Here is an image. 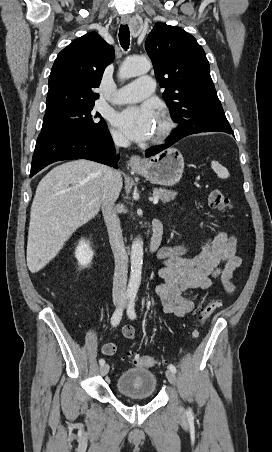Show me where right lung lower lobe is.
Masks as SVG:
<instances>
[{"mask_svg":"<svg viewBox=\"0 0 272 452\" xmlns=\"http://www.w3.org/2000/svg\"><path fill=\"white\" fill-rule=\"evenodd\" d=\"M107 129L95 132H47L38 136L30 177L61 160L88 159L118 168L119 155Z\"/></svg>","mask_w":272,"mask_h":452,"instance_id":"right-lung-lower-lobe-1","label":"right lung lower lobe"}]
</instances>
